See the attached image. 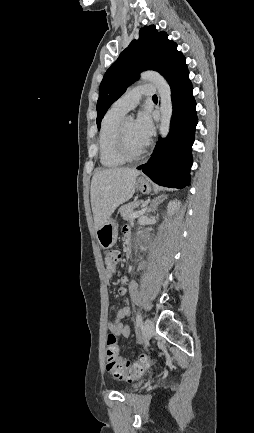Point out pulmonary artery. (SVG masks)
<instances>
[{
	"label": "pulmonary artery",
	"mask_w": 254,
	"mask_h": 433,
	"mask_svg": "<svg viewBox=\"0 0 254 433\" xmlns=\"http://www.w3.org/2000/svg\"><path fill=\"white\" fill-rule=\"evenodd\" d=\"M154 93V86L152 84H143L130 89L121 98H119L111 107L112 110L121 112L123 114L135 108L140 98L143 95H152Z\"/></svg>",
	"instance_id": "e3ab8cb5"
}]
</instances>
